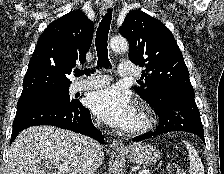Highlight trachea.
I'll return each instance as SVG.
<instances>
[{"label":"trachea","instance_id":"1","mask_svg":"<svg viewBox=\"0 0 224 174\" xmlns=\"http://www.w3.org/2000/svg\"><path fill=\"white\" fill-rule=\"evenodd\" d=\"M112 20V10L107 9V13L103 16V19L101 20V23L99 24V27L96 32V39H95V45H96V51H97V56H98V67L102 68H109L110 63L108 59V33L110 29V23ZM92 73L94 72L91 71ZM83 74L90 75V70L86 71H80L77 70L75 72V76L79 77Z\"/></svg>","mask_w":224,"mask_h":174}]
</instances>
